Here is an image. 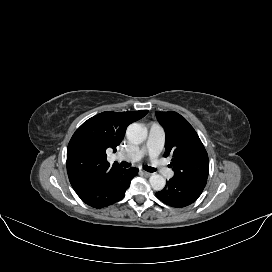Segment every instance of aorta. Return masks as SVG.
I'll return each mask as SVG.
<instances>
[{
	"mask_svg": "<svg viewBox=\"0 0 272 272\" xmlns=\"http://www.w3.org/2000/svg\"><path fill=\"white\" fill-rule=\"evenodd\" d=\"M126 137L133 144H141L146 138L144 127L139 123L130 124L126 130ZM149 182L155 191H161L166 183L165 178L159 174H153Z\"/></svg>",
	"mask_w": 272,
	"mask_h": 272,
	"instance_id": "1",
	"label": "aorta"
}]
</instances>
